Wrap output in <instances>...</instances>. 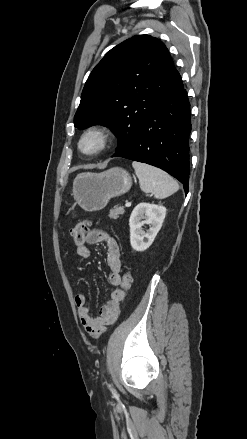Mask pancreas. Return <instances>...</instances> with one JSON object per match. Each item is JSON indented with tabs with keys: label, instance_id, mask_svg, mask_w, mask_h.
Returning <instances> with one entry per match:
<instances>
[{
	"label": "pancreas",
	"instance_id": "obj_1",
	"mask_svg": "<svg viewBox=\"0 0 247 439\" xmlns=\"http://www.w3.org/2000/svg\"><path fill=\"white\" fill-rule=\"evenodd\" d=\"M125 213L123 206H114L113 209L109 212V217L112 219H118L120 215H123Z\"/></svg>",
	"mask_w": 247,
	"mask_h": 439
}]
</instances>
